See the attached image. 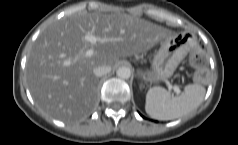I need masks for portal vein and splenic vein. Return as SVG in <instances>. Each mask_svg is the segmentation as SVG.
<instances>
[{
  "mask_svg": "<svg viewBox=\"0 0 238 145\" xmlns=\"http://www.w3.org/2000/svg\"><path fill=\"white\" fill-rule=\"evenodd\" d=\"M85 40L88 41V42H90L91 45H92V47L86 51L85 55H86L87 57H91V56H93V54H94V48H93V46L96 45L98 39H97L94 35H92V34H87V35L85 36ZM167 87H168L169 90H172V89H173L176 94H180V93H181L180 88H179L178 86H176V85L173 86V85H171L170 83H167Z\"/></svg>",
  "mask_w": 238,
  "mask_h": 145,
  "instance_id": "18ae733b",
  "label": "portal vein and splenic vein"
}]
</instances>
